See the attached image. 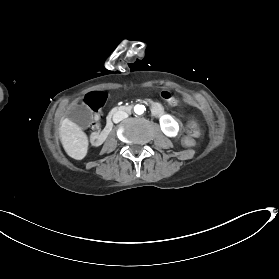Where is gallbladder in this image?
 Listing matches in <instances>:
<instances>
[{"instance_id":"obj_1","label":"gallbladder","mask_w":279,"mask_h":279,"mask_svg":"<svg viewBox=\"0 0 279 279\" xmlns=\"http://www.w3.org/2000/svg\"><path fill=\"white\" fill-rule=\"evenodd\" d=\"M92 111L83 105H76L68 111V119L79 124L81 130H86L91 123Z\"/></svg>"}]
</instances>
